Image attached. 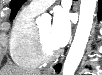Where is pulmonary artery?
Here are the masks:
<instances>
[{"label":"pulmonary artery","instance_id":"e3ab8cb5","mask_svg":"<svg viewBox=\"0 0 102 75\" xmlns=\"http://www.w3.org/2000/svg\"><path fill=\"white\" fill-rule=\"evenodd\" d=\"M54 0H38V1H31L27 7H29L31 10L37 13L43 12L45 9H47L51 4H53Z\"/></svg>","mask_w":102,"mask_h":75}]
</instances>
